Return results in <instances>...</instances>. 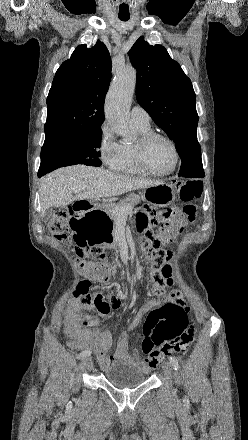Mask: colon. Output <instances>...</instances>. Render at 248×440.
Returning <instances> with one entry per match:
<instances>
[{
  "mask_svg": "<svg viewBox=\"0 0 248 440\" xmlns=\"http://www.w3.org/2000/svg\"><path fill=\"white\" fill-rule=\"evenodd\" d=\"M201 192L202 185L199 181H184L180 186V198L184 203L180 214L175 215L172 210H164L159 214V219L163 220V223L157 232L151 231L148 227L143 229L146 236L144 248L150 258H172V252L166 247L184 226L194 221L196 208L193 201L200 197ZM81 211V207L78 206H67L56 210L48 223L52 235L60 241H65L71 231V218H81ZM151 221H155V218L153 217ZM75 242L76 267L85 279L76 286L74 296L79 307L91 309L100 305L102 295L91 287L89 279L108 281L112 275V267L103 247L85 246V241ZM143 335L142 351L147 355L150 365L156 367L164 356L172 353L184 354L188 350L194 339L195 326L189 321L186 308L170 302L149 312L144 323ZM158 345H161L160 348L155 349Z\"/></svg>",
  "mask_w": 248,
  "mask_h": 440,
  "instance_id": "obj_1",
  "label": "colon"
}]
</instances>
